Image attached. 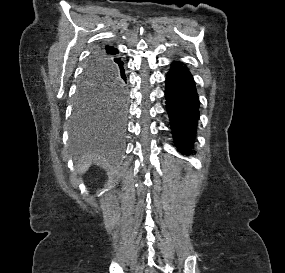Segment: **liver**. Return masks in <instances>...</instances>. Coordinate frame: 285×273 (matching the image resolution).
<instances>
[{"instance_id": "liver-1", "label": "liver", "mask_w": 285, "mask_h": 273, "mask_svg": "<svg viewBox=\"0 0 285 273\" xmlns=\"http://www.w3.org/2000/svg\"><path fill=\"white\" fill-rule=\"evenodd\" d=\"M91 164H92V159L91 158H83L81 160V164L78 167V172L81 173V174L85 173L89 169Z\"/></svg>"}]
</instances>
